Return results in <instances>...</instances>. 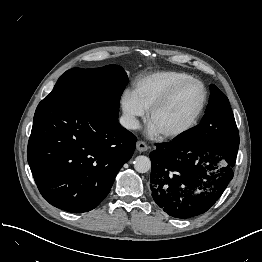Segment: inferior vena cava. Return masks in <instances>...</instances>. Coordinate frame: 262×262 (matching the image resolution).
I'll use <instances>...</instances> for the list:
<instances>
[{
	"label": "inferior vena cava",
	"instance_id": "602c4592",
	"mask_svg": "<svg viewBox=\"0 0 262 262\" xmlns=\"http://www.w3.org/2000/svg\"><path fill=\"white\" fill-rule=\"evenodd\" d=\"M119 122L126 129H138L139 128V122L133 116L123 115L119 119Z\"/></svg>",
	"mask_w": 262,
	"mask_h": 262
}]
</instances>
